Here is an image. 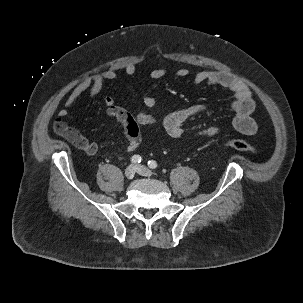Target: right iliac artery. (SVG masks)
<instances>
[{"label":"right iliac artery","mask_w":303,"mask_h":303,"mask_svg":"<svg viewBox=\"0 0 303 303\" xmlns=\"http://www.w3.org/2000/svg\"><path fill=\"white\" fill-rule=\"evenodd\" d=\"M142 161V158L140 155H133L131 157V162L134 163V164H138Z\"/></svg>","instance_id":"obj_1"}]
</instances>
